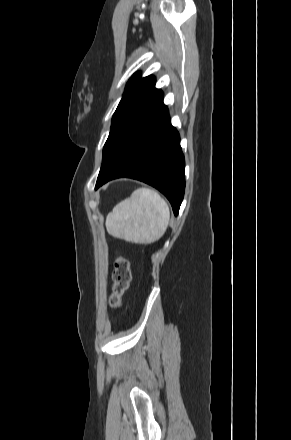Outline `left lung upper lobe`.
<instances>
[{"instance_id":"obj_1","label":"left lung upper lobe","mask_w":291,"mask_h":440,"mask_svg":"<svg viewBox=\"0 0 291 440\" xmlns=\"http://www.w3.org/2000/svg\"><path fill=\"white\" fill-rule=\"evenodd\" d=\"M161 94L162 91L155 88L154 76L141 78L140 72H137L131 77L113 115L110 134L103 148V159L125 128Z\"/></svg>"}]
</instances>
